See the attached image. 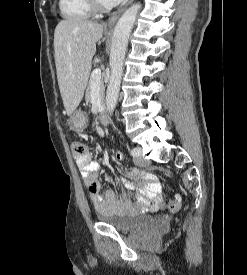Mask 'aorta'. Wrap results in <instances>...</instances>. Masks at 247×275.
Segmentation results:
<instances>
[{"instance_id": "aorta-1", "label": "aorta", "mask_w": 247, "mask_h": 275, "mask_svg": "<svg viewBox=\"0 0 247 275\" xmlns=\"http://www.w3.org/2000/svg\"><path fill=\"white\" fill-rule=\"evenodd\" d=\"M140 8V3L129 7L118 20L113 32L110 52L111 73L106 95V107L109 113H112L116 107L128 40Z\"/></svg>"}]
</instances>
